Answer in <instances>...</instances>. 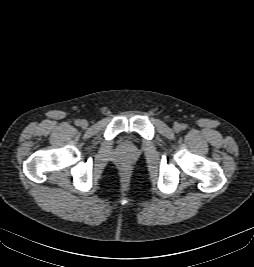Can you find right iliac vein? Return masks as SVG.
I'll return each mask as SVG.
<instances>
[{
  "label": "right iliac vein",
  "mask_w": 254,
  "mask_h": 267,
  "mask_svg": "<svg viewBox=\"0 0 254 267\" xmlns=\"http://www.w3.org/2000/svg\"><path fill=\"white\" fill-rule=\"evenodd\" d=\"M81 127L82 128H87L88 127V122L86 120L81 121Z\"/></svg>",
  "instance_id": "right-iliac-vein-1"
}]
</instances>
